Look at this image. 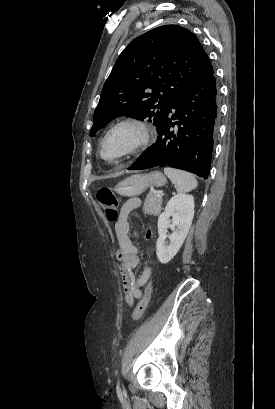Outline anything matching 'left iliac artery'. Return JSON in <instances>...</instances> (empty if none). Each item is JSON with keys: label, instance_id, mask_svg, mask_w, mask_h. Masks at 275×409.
I'll list each match as a JSON object with an SVG mask.
<instances>
[{"label": "left iliac artery", "instance_id": "left-iliac-artery-1", "mask_svg": "<svg viewBox=\"0 0 275 409\" xmlns=\"http://www.w3.org/2000/svg\"><path fill=\"white\" fill-rule=\"evenodd\" d=\"M120 385V381H118V386Z\"/></svg>", "mask_w": 275, "mask_h": 409}]
</instances>
